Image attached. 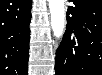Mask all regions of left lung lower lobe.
Listing matches in <instances>:
<instances>
[{
	"mask_svg": "<svg viewBox=\"0 0 102 75\" xmlns=\"http://www.w3.org/2000/svg\"><path fill=\"white\" fill-rule=\"evenodd\" d=\"M55 75H102V0H70Z\"/></svg>",
	"mask_w": 102,
	"mask_h": 75,
	"instance_id": "obj_1",
	"label": "left lung lower lobe"
}]
</instances>
